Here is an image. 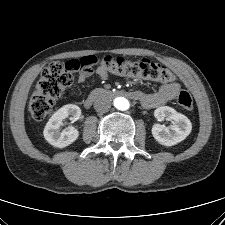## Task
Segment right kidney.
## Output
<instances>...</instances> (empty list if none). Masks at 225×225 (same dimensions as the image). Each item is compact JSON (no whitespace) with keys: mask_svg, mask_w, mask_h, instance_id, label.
<instances>
[{"mask_svg":"<svg viewBox=\"0 0 225 225\" xmlns=\"http://www.w3.org/2000/svg\"><path fill=\"white\" fill-rule=\"evenodd\" d=\"M80 115L81 109L77 105L69 104L61 107L47 122L43 131L44 138L58 148L69 146L77 140L79 131L73 126H68L62 131L60 128L63 126L64 119L69 118L74 122Z\"/></svg>","mask_w":225,"mask_h":225,"instance_id":"ca27d5eb","label":"right kidney"}]
</instances>
